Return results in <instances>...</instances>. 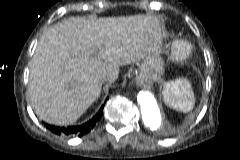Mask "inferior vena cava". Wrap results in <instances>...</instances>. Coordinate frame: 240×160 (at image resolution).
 <instances>
[{"mask_svg":"<svg viewBox=\"0 0 240 160\" xmlns=\"http://www.w3.org/2000/svg\"><path fill=\"white\" fill-rule=\"evenodd\" d=\"M114 78L112 76H104L102 78L103 81H110V80H113Z\"/></svg>","mask_w":240,"mask_h":160,"instance_id":"1","label":"inferior vena cava"}]
</instances>
